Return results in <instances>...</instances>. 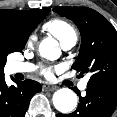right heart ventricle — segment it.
<instances>
[{
	"label": "right heart ventricle",
	"mask_w": 117,
	"mask_h": 117,
	"mask_svg": "<svg viewBox=\"0 0 117 117\" xmlns=\"http://www.w3.org/2000/svg\"><path fill=\"white\" fill-rule=\"evenodd\" d=\"M45 28L51 34H53L60 43L76 36V31L74 28L65 20L62 19H53L45 24Z\"/></svg>",
	"instance_id": "obj_1"
}]
</instances>
